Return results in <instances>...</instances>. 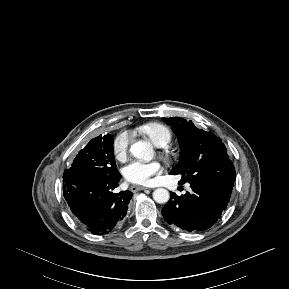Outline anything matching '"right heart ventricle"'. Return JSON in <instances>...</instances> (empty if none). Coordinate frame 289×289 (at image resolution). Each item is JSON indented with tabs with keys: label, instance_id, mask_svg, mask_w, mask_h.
I'll return each mask as SVG.
<instances>
[{
	"label": "right heart ventricle",
	"instance_id": "e07e8e85",
	"mask_svg": "<svg viewBox=\"0 0 289 289\" xmlns=\"http://www.w3.org/2000/svg\"><path fill=\"white\" fill-rule=\"evenodd\" d=\"M140 132L148 137L156 146L164 147L172 139L170 130L160 123H149L140 128Z\"/></svg>",
	"mask_w": 289,
	"mask_h": 289
}]
</instances>
